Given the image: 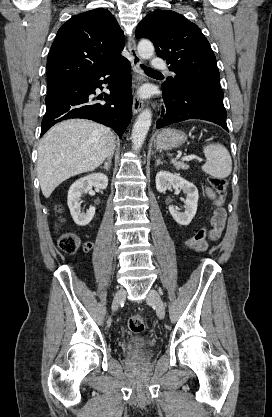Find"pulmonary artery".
Instances as JSON below:
<instances>
[{
	"instance_id": "e3ab8cb5",
	"label": "pulmonary artery",
	"mask_w": 272,
	"mask_h": 417,
	"mask_svg": "<svg viewBox=\"0 0 272 417\" xmlns=\"http://www.w3.org/2000/svg\"><path fill=\"white\" fill-rule=\"evenodd\" d=\"M152 66L155 69H165L166 68V63L160 58H154L152 60Z\"/></svg>"
}]
</instances>
